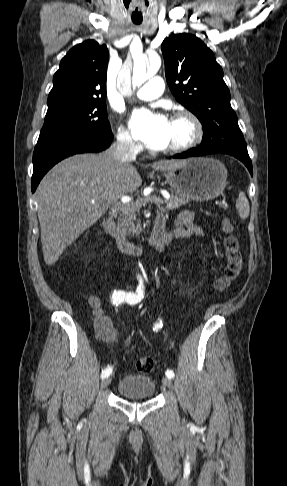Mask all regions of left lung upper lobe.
Here are the masks:
<instances>
[{
    "label": "left lung upper lobe",
    "mask_w": 287,
    "mask_h": 486,
    "mask_svg": "<svg viewBox=\"0 0 287 486\" xmlns=\"http://www.w3.org/2000/svg\"><path fill=\"white\" fill-rule=\"evenodd\" d=\"M161 49L172 94L203 126L199 148L248 153L230 104L223 70L213 52L199 38L187 33L166 38Z\"/></svg>",
    "instance_id": "1"
}]
</instances>
